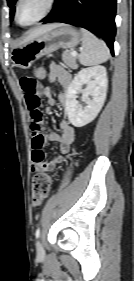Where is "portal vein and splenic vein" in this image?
Masks as SVG:
<instances>
[{
    "label": "portal vein and splenic vein",
    "instance_id": "18ae733b",
    "mask_svg": "<svg viewBox=\"0 0 134 281\" xmlns=\"http://www.w3.org/2000/svg\"><path fill=\"white\" fill-rule=\"evenodd\" d=\"M71 55L72 56H77V52L76 51H71Z\"/></svg>",
    "mask_w": 134,
    "mask_h": 281
}]
</instances>
